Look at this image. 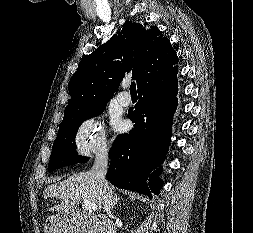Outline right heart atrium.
I'll return each mask as SVG.
<instances>
[{
  "mask_svg": "<svg viewBox=\"0 0 253 233\" xmlns=\"http://www.w3.org/2000/svg\"><path fill=\"white\" fill-rule=\"evenodd\" d=\"M75 145L79 154L85 157L108 150L105 129L99 118H87L81 122L75 134Z\"/></svg>",
  "mask_w": 253,
  "mask_h": 233,
  "instance_id": "d8ad5b80",
  "label": "right heart atrium"
}]
</instances>
